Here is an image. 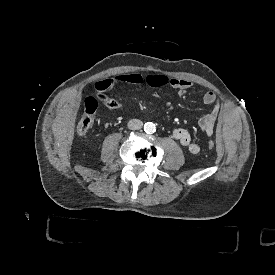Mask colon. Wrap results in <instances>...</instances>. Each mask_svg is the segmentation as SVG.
Here are the masks:
<instances>
[{"mask_svg":"<svg viewBox=\"0 0 275 275\" xmlns=\"http://www.w3.org/2000/svg\"><path fill=\"white\" fill-rule=\"evenodd\" d=\"M97 94L101 95L103 97V100L105 101L103 107H106L108 109H116L118 107V102L116 100L108 98L101 93ZM98 107L99 105L97 104V101H94L92 97L87 98L84 108V114L76 126L78 134H85L91 129L95 122V115ZM205 148L207 151L212 152L215 150L216 145L213 141L208 140L205 143Z\"/></svg>","mask_w":275,"mask_h":275,"instance_id":"5ec220e1","label":"colon"}]
</instances>
